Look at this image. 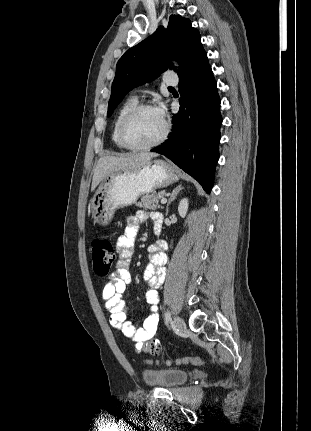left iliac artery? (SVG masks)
Wrapping results in <instances>:
<instances>
[{
    "instance_id": "44dca946",
    "label": "left iliac artery",
    "mask_w": 311,
    "mask_h": 431,
    "mask_svg": "<svg viewBox=\"0 0 311 431\" xmlns=\"http://www.w3.org/2000/svg\"><path fill=\"white\" fill-rule=\"evenodd\" d=\"M171 321V313L167 310L165 313L164 322L166 325H168Z\"/></svg>"
}]
</instances>
